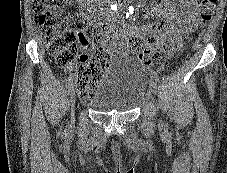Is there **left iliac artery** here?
Returning a JSON list of instances; mask_svg holds the SVG:
<instances>
[{
  "mask_svg": "<svg viewBox=\"0 0 227 173\" xmlns=\"http://www.w3.org/2000/svg\"><path fill=\"white\" fill-rule=\"evenodd\" d=\"M151 78L154 79L156 82L159 81V75L155 71H151Z\"/></svg>",
  "mask_w": 227,
  "mask_h": 173,
  "instance_id": "left-iliac-artery-1",
  "label": "left iliac artery"
}]
</instances>
